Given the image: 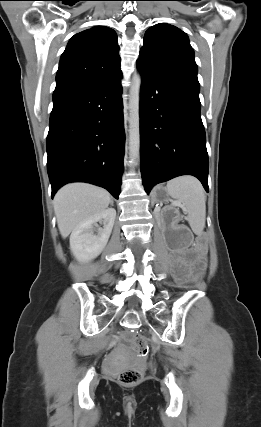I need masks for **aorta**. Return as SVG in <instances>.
<instances>
[{
    "label": "aorta",
    "mask_w": 261,
    "mask_h": 427,
    "mask_svg": "<svg viewBox=\"0 0 261 427\" xmlns=\"http://www.w3.org/2000/svg\"><path fill=\"white\" fill-rule=\"evenodd\" d=\"M140 88L141 76L135 73L131 81L129 98V154L134 161L138 160L140 152Z\"/></svg>",
    "instance_id": "1"
}]
</instances>
